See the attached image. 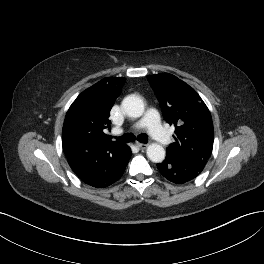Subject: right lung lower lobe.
<instances>
[{
    "label": "right lung lower lobe",
    "mask_w": 264,
    "mask_h": 264,
    "mask_svg": "<svg viewBox=\"0 0 264 264\" xmlns=\"http://www.w3.org/2000/svg\"><path fill=\"white\" fill-rule=\"evenodd\" d=\"M130 157V148L124 146L116 153L101 152L91 156H78L68 159V162L84 183L104 188L121 178Z\"/></svg>",
    "instance_id": "1"
}]
</instances>
